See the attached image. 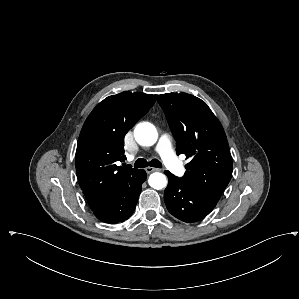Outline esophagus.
<instances>
[{"label": "esophagus", "mask_w": 299, "mask_h": 299, "mask_svg": "<svg viewBox=\"0 0 299 299\" xmlns=\"http://www.w3.org/2000/svg\"><path fill=\"white\" fill-rule=\"evenodd\" d=\"M145 171H146L147 174H150V173L155 172V171H160V169L154 168V167H147V168H145Z\"/></svg>", "instance_id": "1"}]
</instances>
